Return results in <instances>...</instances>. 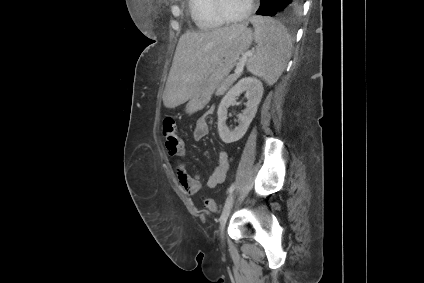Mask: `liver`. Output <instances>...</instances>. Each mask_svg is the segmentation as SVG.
I'll list each match as a JSON object with an SVG mask.
<instances>
[{"label": "liver", "instance_id": "liver-1", "mask_svg": "<svg viewBox=\"0 0 424 283\" xmlns=\"http://www.w3.org/2000/svg\"><path fill=\"white\" fill-rule=\"evenodd\" d=\"M248 23L205 31H187L178 42L163 93L166 108L188 101L213 71L232 41Z\"/></svg>", "mask_w": 424, "mask_h": 283}]
</instances>
